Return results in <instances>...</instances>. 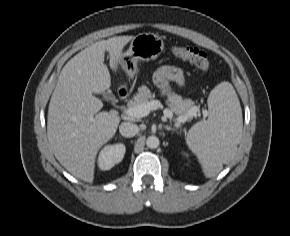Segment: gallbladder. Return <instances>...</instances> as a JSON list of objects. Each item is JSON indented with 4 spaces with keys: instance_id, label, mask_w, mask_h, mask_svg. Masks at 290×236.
Here are the masks:
<instances>
[{
    "instance_id": "gallbladder-1",
    "label": "gallbladder",
    "mask_w": 290,
    "mask_h": 236,
    "mask_svg": "<svg viewBox=\"0 0 290 236\" xmlns=\"http://www.w3.org/2000/svg\"><path fill=\"white\" fill-rule=\"evenodd\" d=\"M105 97L106 98H111L112 97V94H106Z\"/></svg>"
}]
</instances>
